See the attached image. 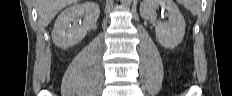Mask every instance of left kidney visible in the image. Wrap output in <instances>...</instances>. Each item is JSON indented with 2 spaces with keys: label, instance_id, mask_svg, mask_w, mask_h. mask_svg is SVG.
I'll list each match as a JSON object with an SVG mask.
<instances>
[{
  "label": "left kidney",
  "instance_id": "obj_1",
  "mask_svg": "<svg viewBox=\"0 0 232 96\" xmlns=\"http://www.w3.org/2000/svg\"><path fill=\"white\" fill-rule=\"evenodd\" d=\"M160 5L168 11L167 23H158L155 27L156 39L165 48L173 49L183 40L185 21L179 8L173 0H143L140 4V14L144 19H156L155 8Z\"/></svg>",
  "mask_w": 232,
  "mask_h": 96
}]
</instances>
